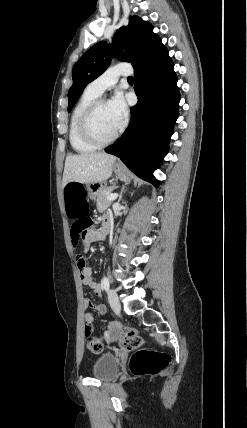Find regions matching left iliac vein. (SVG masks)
Wrapping results in <instances>:
<instances>
[{
    "label": "left iliac vein",
    "mask_w": 247,
    "mask_h": 428,
    "mask_svg": "<svg viewBox=\"0 0 247 428\" xmlns=\"http://www.w3.org/2000/svg\"><path fill=\"white\" fill-rule=\"evenodd\" d=\"M108 301H109L111 308L115 312H117V313L120 312V309H121L120 301H119V298L117 296V293L113 289L108 291Z\"/></svg>",
    "instance_id": "4c4485c4"
}]
</instances>
